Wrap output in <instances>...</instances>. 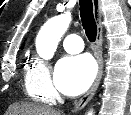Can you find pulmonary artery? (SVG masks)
Wrapping results in <instances>:
<instances>
[{
  "mask_svg": "<svg viewBox=\"0 0 131 115\" xmlns=\"http://www.w3.org/2000/svg\"><path fill=\"white\" fill-rule=\"evenodd\" d=\"M63 47L68 53L74 54L81 52L84 45L80 36L69 34L63 39Z\"/></svg>",
  "mask_w": 131,
  "mask_h": 115,
  "instance_id": "obj_1",
  "label": "pulmonary artery"
}]
</instances>
